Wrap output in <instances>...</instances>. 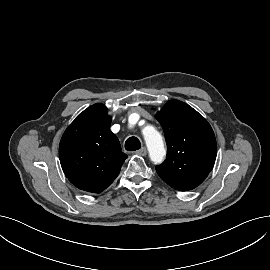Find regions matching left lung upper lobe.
Here are the masks:
<instances>
[{"mask_svg": "<svg viewBox=\"0 0 270 270\" xmlns=\"http://www.w3.org/2000/svg\"><path fill=\"white\" fill-rule=\"evenodd\" d=\"M167 143L166 160L156 166L160 178L179 191L199 186L212 170L217 155L214 132L189 105L170 100L157 112Z\"/></svg>", "mask_w": 270, "mask_h": 270, "instance_id": "1", "label": "left lung upper lobe"}]
</instances>
